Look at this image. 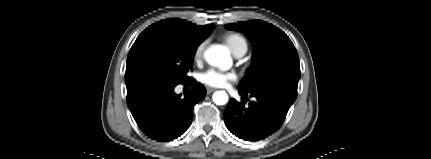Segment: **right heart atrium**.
<instances>
[{
    "instance_id": "1",
    "label": "right heart atrium",
    "mask_w": 431,
    "mask_h": 159,
    "mask_svg": "<svg viewBox=\"0 0 431 159\" xmlns=\"http://www.w3.org/2000/svg\"><path fill=\"white\" fill-rule=\"evenodd\" d=\"M205 44H206V42L203 41L200 44H198L197 47L195 48V51H194V59L195 60H199L202 57L203 52H204V48H205Z\"/></svg>"
}]
</instances>
